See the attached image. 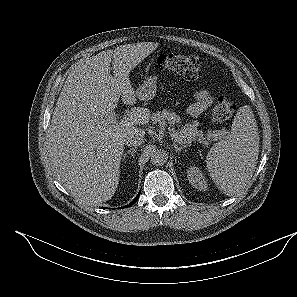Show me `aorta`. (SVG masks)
I'll use <instances>...</instances> for the list:
<instances>
[{
  "instance_id": "aorta-1",
  "label": "aorta",
  "mask_w": 297,
  "mask_h": 297,
  "mask_svg": "<svg viewBox=\"0 0 297 297\" xmlns=\"http://www.w3.org/2000/svg\"><path fill=\"white\" fill-rule=\"evenodd\" d=\"M150 159H151L152 164H154V165H157V166L163 165L164 163H166V161L168 159V155H167L166 151L161 150V149H156L151 152Z\"/></svg>"
}]
</instances>
